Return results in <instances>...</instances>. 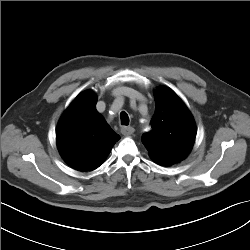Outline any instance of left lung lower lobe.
<instances>
[{
  "label": "left lung lower lobe",
  "mask_w": 250,
  "mask_h": 250,
  "mask_svg": "<svg viewBox=\"0 0 250 250\" xmlns=\"http://www.w3.org/2000/svg\"><path fill=\"white\" fill-rule=\"evenodd\" d=\"M155 162L163 166H169V165L174 164V163L166 162V161H155Z\"/></svg>",
  "instance_id": "left-lung-lower-lobe-1"
}]
</instances>
